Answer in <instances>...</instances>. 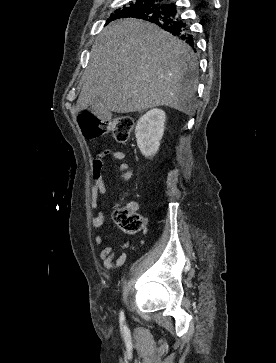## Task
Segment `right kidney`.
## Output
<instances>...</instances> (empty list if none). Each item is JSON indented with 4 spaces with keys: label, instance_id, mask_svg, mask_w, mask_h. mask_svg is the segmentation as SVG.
Returning <instances> with one entry per match:
<instances>
[{
    "label": "right kidney",
    "instance_id": "1",
    "mask_svg": "<svg viewBox=\"0 0 276 363\" xmlns=\"http://www.w3.org/2000/svg\"><path fill=\"white\" fill-rule=\"evenodd\" d=\"M166 115L161 109H151L137 121L135 136L137 146L145 157L154 156L164 133Z\"/></svg>",
    "mask_w": 276,
    "mask_h": 363
}]
</instances>
